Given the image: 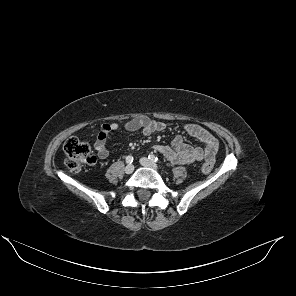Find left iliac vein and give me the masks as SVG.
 <instances>
[{"mask_svg":"<svg viewBox=\"0 0 296 296\" xmlns=\"http://www.w3.org/2000/svg\"><path fill=\"white\" fill-rule=\"evenodd\" d=\"M140 163L144 167H149V168H152L154 170H158L157 165L155 163H153L152 161H150L149 159L145 158V157H142L140 159Z\"/></svg>","mask_w":296,"mask_h":296,"instance_id":"4c4485c4","label":"left iliac vein"}]
</instances>
